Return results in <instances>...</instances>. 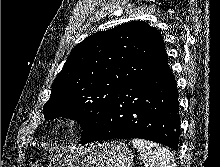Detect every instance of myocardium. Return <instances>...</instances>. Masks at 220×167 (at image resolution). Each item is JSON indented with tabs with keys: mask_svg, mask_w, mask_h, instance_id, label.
<instances>
[{
	"mask_svg": "<svg viewBox=\"0 0 220 167\" xmlns=\"http://www.w3.org/2000/svg\"><path fill=\"white\" fill-rule=\"evenodd\" d=\"M79 129V123L74 118H63L57 124V132L63 137L74 135Z\"/></svg>",
	"mask_w": 220,
	"mask_h": 167,
	"instance_id": "myocardium-1",
	"label": "myocardium"
}]
</instances>
